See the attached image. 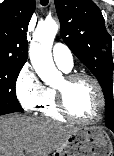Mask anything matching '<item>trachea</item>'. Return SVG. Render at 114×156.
<instances>
[{
    "instance_id": "3493384b",
    "label": "trachea",
    "mask_w": 114,
    "mask_h": 156,
    "mask_svg": "<svg viewBox=\"0 0 114 156\" xmlns=\"http://www.w3.org/2000/svg\"><path fill=\"white\" fill-rule=\"evenodd\" d=\"M43 6H46L49 3V0H40Z\"/></svg>"
}]
</instances>
